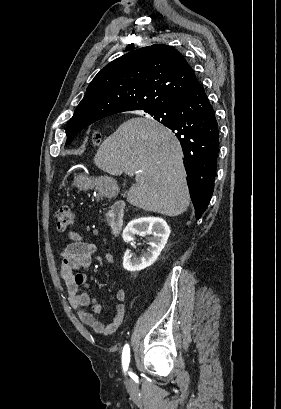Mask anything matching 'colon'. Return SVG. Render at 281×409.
<instances>
[{
    "mask_svg": "<svg viewBox=\"0 0 281 409\" xmlns=\"http://www.w3.org/2000/svg\"><path fill=\"white\" fill-rule=\"evenodd\" d=\"M102 141V134L96 132L93 136V143L100 144ZM55 221L59 230L64 231L68 229L75 221L74 210L69 206H59L55 212Z\"/></svg>",
    "mask_w": 281,
    "mask_h": 409,
    "instance_id": "1",
    "label": "colon"
}]
</instances>
